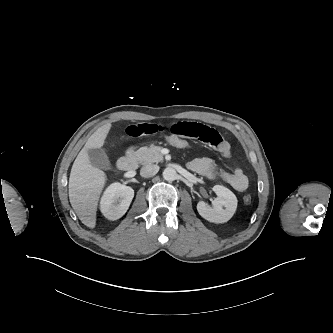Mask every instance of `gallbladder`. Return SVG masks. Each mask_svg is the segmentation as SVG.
Wrapping results in <instances>:
<instances>
[{
    "instance_id": "obj_1",
    "label": "gallbladder",
    "mask_w": 333,
    "mask_h": 333,
    "mask_svg": "<svg viewBox=\"0 0 333 333\" xmlns=\"http://www.w3.org/2000/svg\"><path fill=\"white\" fill-rule=\"evenodd\" d=\"M90 163L101 170H116L112 168L111 163L106 155L105 151L101 148H94L88 150Z\"/></svg>"
}]
</instances>
